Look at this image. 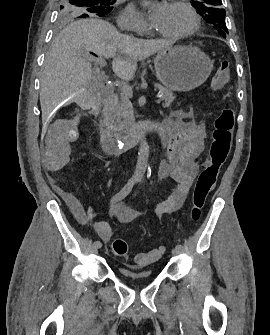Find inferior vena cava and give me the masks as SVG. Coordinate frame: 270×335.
<instances>
[{
  "mask_svg": "<svg viewBox=\"0 0 270 335\" xmlns=\"http://www.w3.org/2000/svg\"><path fill=\"white\" fill-rule=\"evenodd\" d=\"M117 24H118L120 30H126L124 20H117Z\"/></svg>",
  "mask_w": 270,
  "mask_h": 335,
  "instance_id": "602c4592",
  "label": "inferior vena cava"
}]
</instances>
